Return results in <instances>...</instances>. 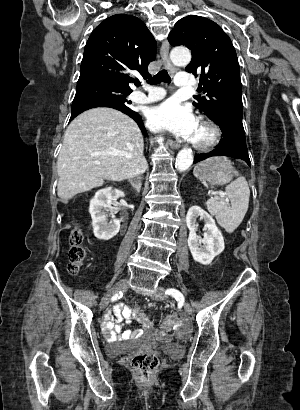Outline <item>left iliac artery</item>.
Returning a JSON list of instances; mask_svg holds the SVG:
<instances>
[{"instance_id": "left-iliac-artery-1", "label": "left iliac artery", "mask_w": 300, "mask_h": 410, "mask_svg": "<svg viewBox=\"0 0 300 410\" xmlns=\"http://www.w3.org/2000/svg\"><path fill=\"white\" fill-rule=\"evenodd\" d=\"M165 294H168V295L173 296L176 300L184 301V296H183V294H182L180 291H178V290H176V289H174V288H169V289H167V290L165 291Z\"/></svg>"}]
</instances>
